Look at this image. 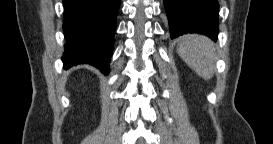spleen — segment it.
I'll return each instance as SVG.
<instances>
[{"instance_id": "obj_1", "label": "spleen", "mask_w": 273, "mask_h": 144, "mask_svg": "<svg viewBox=\"0 0 273 144\" xmlns=\"http://www.w3.org/2000/svg\"><path fill=\"white\" fill-rule=\"evenodd\" d=\"M178 55L204 80L213 76L215 49L213 42L203 35H184L177 48Z\"/></svg>"}]
</instances>
